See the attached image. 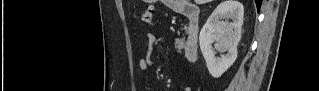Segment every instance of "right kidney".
I'll return each instance as SVG.
<instances>
[{"instance_id":"obj_1","label":"right kidney","mask_w":319,"mask_h":91,"mask_svg":"<svg viewBox=\"0 0 319 91\" xmlns=\"http://www.w3.org/2000/svg\"><path fill=\"white\" fill-rule=\"evenodd\" d=\"M243 15L244 8L238 0H225L216 7L201 29L200 49L208 71L214 78H219L237 58ZM213 40L217 42L216 49L227 54L216 57L211 47Z\"/></svg>"}]
</instances>
